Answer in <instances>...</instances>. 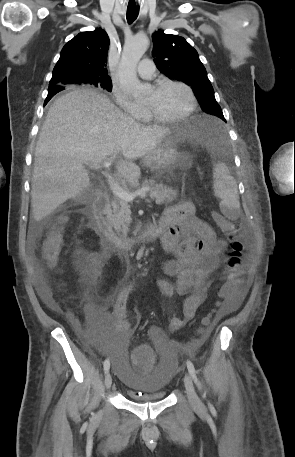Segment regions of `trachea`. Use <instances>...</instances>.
Masks as SVG:
<instances>
[{"label": "trachea", "mask_w": 295, "mask_h": 457, "mask_svg": "<svg viewBox=\"0 0 295 457\" xmlns=\"http://www.w3.org/2000/svg\"><path fill=\"white\" fill-rule=\"evenodd\" d=\"M139 9L136 5H128L126 18L129 24H132L138 17Z\"/></svg>", "instance_id": "trachea-1"}]
</instances>
